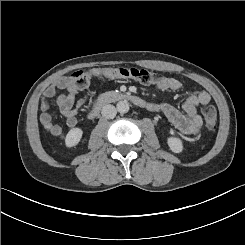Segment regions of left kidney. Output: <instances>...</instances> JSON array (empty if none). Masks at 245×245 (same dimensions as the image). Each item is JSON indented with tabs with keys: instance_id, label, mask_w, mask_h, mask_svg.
Returning <instances> with one entry per match:
<instances>
[{
	"instance_id": "1",
	"label": "left kidney",
	"mask_w": 245,
	"mask_h": 245,
	"mask_svg": "<svg viewBox=\"0 0 245 245\" xmlns=\"http://www.w3.org/2000/svg\"><path fill=\"white\" fill-rule=\"evenodd\" d=\"M168 146L174 153H180L183 150L182 141L177 137H169L167 140Z\"/></svg>"
}]
</instances>
